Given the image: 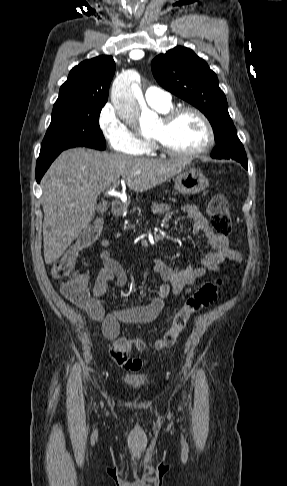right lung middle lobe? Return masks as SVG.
Returning a JSON list of instances; mask_svg holds the SVG:
<instances>
[{
  "label": "right lung middle lobe",
  "instance_id": "right-lung-middle-lobe-1",
  "mask_svg": "<svg viewBox=\"0 0 287 486\" xmlns=\"http://www.w3.org/2000/svg\"><path fill=\"white\" fill-rule=\"evenodd\" d=\"M104 105L87 101L54 106L39 157L79 146L104 150L106 142L98 123Z\"/></svg>",
  "mask_w": 287,
  "mask_h": 486
}]
</instances>
